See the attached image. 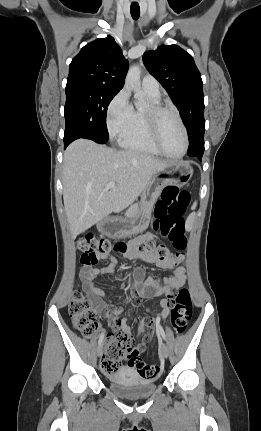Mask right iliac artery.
Wrapping results in <instances>:
<instances>
[{"label":"right iliac artery","mask_w":261,"mask_h":431,"mask_svg":"<svg viewBox=\"0 0 261 431\" xmlns=\"http://www.w3.org/2000/svg\"><path fill=\"white\" fill-rule=\"evenodd\" d=\"M103 338H104V332H102L101 335H100V337H99V341H98L99 345L102 343Z\"/></svg>","instance_id":"82829eb1"}]
</instances>
